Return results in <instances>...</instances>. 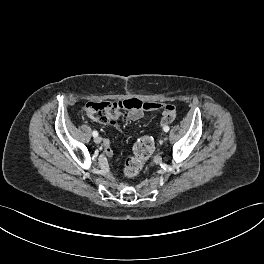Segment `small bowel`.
<instances>
[{"label":"small bowel","instance_id":"c3829d8e","mask_svg":"<svg viewBox=\"0 0 264 264\" xmlns=\"http://www.w3.org/2000/svg\"><path fill=\"white\" fill-rule=\"evenodd\" d=\"M125 104L124 109L129 110L127 118L131 121H137L141 119L146 111L163 110V118L161 120L162 125H167L174 121L176 118L175 107L169 104H163L159 102L147 101L143 102L139 99L132 98L122 101ZM105 153L107 156H112V150L108 141H105Z\"/></svg>","mask_w":264,"mask_h":264}]
</instances>
